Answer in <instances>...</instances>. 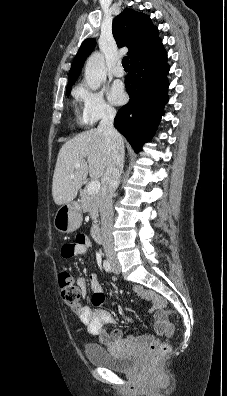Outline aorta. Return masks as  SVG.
<instances>
[{
    "label": "aorta",
    "mask_w": 227,
    "mask_h": 396,
    "mask_svg": "<svg viewBox=\"0 0 227 396\" xmlns=\"http://www.w3.org/2000/svg\"><path fill=\"white\" fill-rule=\"evenodd\" d=\"M85 80L88 87L95 91L106 80L105 59L102 53L95 52L87 60Z\"/></svg>",
    "instance_id": "762f6f07"
}]
</instances>
